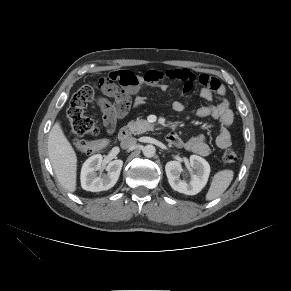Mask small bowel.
I'll return each mask as SVG.
<instances>
[{
	"label": "small bowel",
	"mask_w": 291,
	"mask_h": 291,
	"mask_svg": "<svg viewBox=\"0 0 291 291\" xmlns=\"http://www.w3.org/2000/svg\"><path fill=\"white\" fill-rule=\"evenodd\" d=\"M108 79L111 81L110 88L105 94L113 99V102L105 100L100 107L103 114V124L108 131H112L117 120L126 116L131 106L139 107L145 101L142 91L145 87H157L160 90H166L163 83L166 80L181 82L183 84V93H189L195 82L199 81L203 87L200 90V97L208 105L195 108L193 113L201 118L210 117L219 123V131L216 136V144L219 148L225 149L231 145V135L229 127L233 123L234 114L230 108V102L226 97L225 87L214 77L208 74L196 76L188 69H168V70H149L143 75H135L131 71L120 70L113 71L109 74ZM118 81L121 87L114 82ZM218 103L213 104L214 98ZM172 108L176 112L184 110L185 105L181 101H174ZM173 139L170 143L176 147L185 148L186 150L206 156L210 148L203 135H196L187 141L182 140L176 133H170Z\"/></svg>",
	"instance_id": "small-bowel-1"
}]
</instances>
